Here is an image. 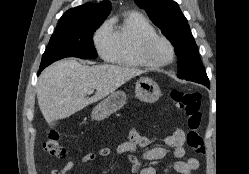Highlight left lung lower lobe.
Segmentation results:
<instances>
[{
    "label": "left lung lower lobe",
    "mask_w": 249,
    "mask_h": 174,
    "mask_svg": "<svg viewBox=\"0 0 249 174\" xmlns=\"http://www.w3.org/2000/svg\"><path fill=\"white\" fill-rule=\"evenodd\" d=\"M189 81L197 82V83L203 84L206 87L210 88L209 80L207 78H197V79H193V80H189Z\"/></svg>",
    "instance_id": "0a47b994"
}]
</instances>
